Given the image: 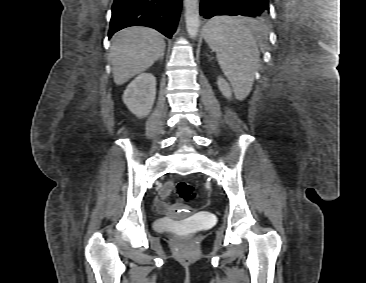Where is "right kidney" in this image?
<instances>
[{
	"label": "right kidney",
	"mask_w": 366,
	"mask_h": 283,
	"mask_svg": "<svg viewBox=\"0 0 366 283\" xmlns=\"http://www.w3.org/2000/svg\"><path fill=\"white\" fill-rule=\"evenodd\" d=\"M156 95V79L151 73H141L126 88L123 102L139 118L149 115Z\"/></svg>",
	"instance_id": "obj_1"
}]
</instances>
